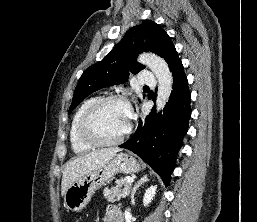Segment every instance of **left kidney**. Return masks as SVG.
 I'll return each mask as SVG.
<instances>
[{
	"label": "left kidney",
	"mask_w": 257,
	"mask_h": 222,
	"mask_svg": "<svg viewBox=\"0 0 257 222\" xmlns=\"http://www.w3.org/2000/svg\"><path fill=\"white\" fill-rule=\"evenodd\" d=\"M156 189H157V186H150L145 194H144V198H143V204L144 206H148L149 203H151V201L153 200V197L155 196L156 194Z\"/></svg>",
	"instance_id": "left-kidney-1"
}]
</instances>
